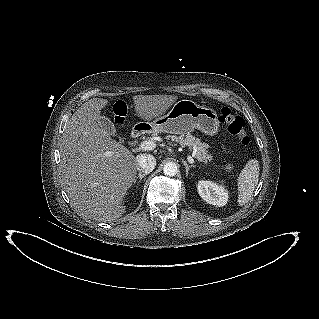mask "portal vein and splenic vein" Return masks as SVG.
I'll return each mask as SVG.
<instances>
[{
	"label": "portal vein and splenic vein",
	"mask_w": 319,
	"mask_h": 319,
	"mask_svg": "<svg viewBox=\"0 0 319 319\" xmlns=\"http://www.w3.org/2000/svg\"><path fill=\"white\" fill-rule=\"evenodd\" d=\"M141 150L143 151H150V150H153L154 148H156V144L154 141H150V140H146V141H143L140 143V147H139ZM187 160L190 164H193L194 163V159H193V156H188L187 157Z\"/></svg>",
	"instance_id": "1"
}]
</instances>
